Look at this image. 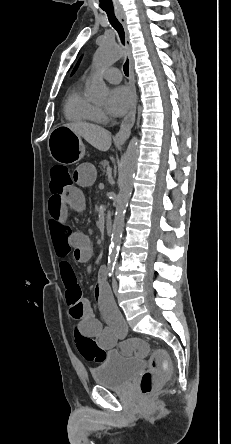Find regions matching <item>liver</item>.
<instances>
[{"mask_svg": "<svg viewBox=\"0 0 231 444\" xmlns=\"http://www.w3.org/2000/svg\"><path fill=\"white\" fill-rule=\"evenodd\" d=\"M64 126L71 129L76 135L83 137L89 144L100 151L106 152L111 146V133L100 126L82 122L69 123Z\"/></svg>", "mask_w": 231, "mask_h": 444, "instance_id": "obj_1", "label": "liver"}]
</instances>
